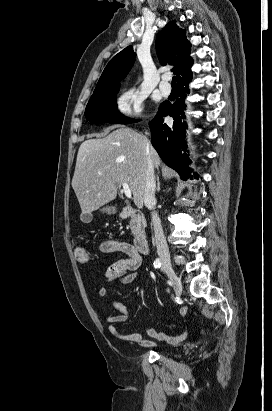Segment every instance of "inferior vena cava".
Returning <instances> with one entry per match:
<instances>
[{
	"mask_svg": "<svg viewBox=\"0 0 272 411\" xmlns=\"http://www.w3.org/2000/svg\"><path fill=\"white\" fill-rule=\"evenodd\" d=\"M147 149H149V143H147ZM155 190H156V182H155V175H154V166H153L152 160L149 157L148 166L146 170V176H145L143 200H144L145 206L148 209L153 210L151 213V216H152L151 224L154 230V237H155L158 256L163 262H170L169 248H168L165 236H164V232H163L162 225H161V220L158 217L157 212L154 210L155 205H156Z\"/></svg>",
	"mask_w": 272,
	"mask_h": 411,
	"instance_id": "obj_1",
	"label": "inferior vena cava"
}]
</instances>
